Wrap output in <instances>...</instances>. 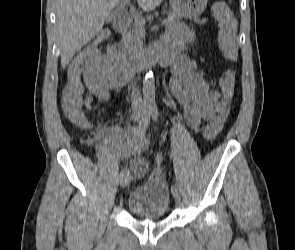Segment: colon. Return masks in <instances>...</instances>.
Returning a JSON list of instances; mask_svg holds the SVG:
<instances>
[{
  "label": "colon",
  "mask_w": 295,
  "mask_h": 250,
  "mask_svg": "<svg viewBox=\"0 0 295 250\" xmlns=\"http://www.w3.org/2000/svg\"><path fill=\"white\" fill-rule=\"evenodd\" d=\"M213 14L218 23V42L223 57L230 63L237 58L236 47V21L225 3L218 2L213 6ZM106 33L102 32L92 43L87 45L84 50L89 53L99 51L100 44L105 40ZM222 93V103L224 106L223 114L216 120L208 123L205 127V137L207 140L214 139L223 127L226 115L229 112V103L234 94L235 78L231 70L224 73L220 80ZM82 85L79 79L67 77L66 84L62 91V110L66 118L81 128H88L89 122L85 117L80 96Z\"/></svg>",
  "instance_id": "1"
}]
</instances>
